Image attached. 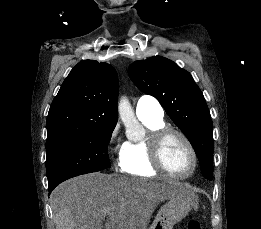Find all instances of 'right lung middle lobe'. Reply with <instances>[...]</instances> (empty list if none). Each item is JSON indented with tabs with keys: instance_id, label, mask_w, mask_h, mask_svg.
<instances>
[{
	"instance_id": "right-lung-middle-lobe-1",
	"label": "right lung middle lobe",
	"mask_w": 261,
	"mask_h": 229,
	"mask_svg": "<svg viewBox=\"0 0 261 229\" xmlns=\"http://www.w3.org/2000/svg\"><path fill=\"white\" fill-rule=\"evenodd\" d=\"M115 125H97L46 147L49 188L69 178L109 168L108 144Z\"/></svg>"
}]
</instances>
